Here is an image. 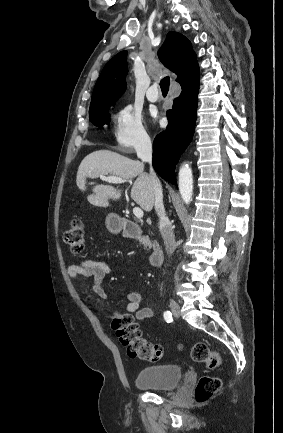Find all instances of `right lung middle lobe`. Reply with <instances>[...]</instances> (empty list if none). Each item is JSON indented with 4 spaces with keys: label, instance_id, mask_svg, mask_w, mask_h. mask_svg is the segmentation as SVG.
Returning <instances> with one entry per match:
<instances>
[{
    "label": "right lung middle lobe",
    "instance_id": "right-lung-middle-lobe-1",
    "mask_svg": "<svg viewBox=\"0 0 283 433\" xmlns=\"http://www.w3.org/2000/svg\"><path fill=\"white\" fill-rule=\"evenodd\" d=\"M111 106L113 105L103 107L101 109H97L95 111L90 112L89 113L90 121L98 127H102L104 124H109L110 114L108 111Z\"/></svg>",
    "mask_w": 283,
    "mask_h": 433
}]
</instances>
